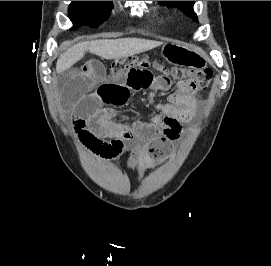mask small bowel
<instances>
[{
    "label": "small bowel",
    "mask_w": 271,
    "mask_h": 266,
    "mask_svg": "<svg viewBox=\"0 0 271 266\" xmlns=\"http://www.w3.org/2000/svg\"><path fill=\"white\" fill-rule=\"evenodd\" d=\"M65 71L60 100L80 142L104 159L117 157L126 142L138 144L140 155L133 166L139 178L163 158L169 144L183 132V124L192 121L201 105L193 93L179 84L165 102L157 105L159 115L153 119L116 120L114 107L127 103L132 92H166L170 88L168 77L155 74L151 66H133L108 76L96 60Z\"/></svg>",
    "instance_id": "c3829d8e"
}]
</instances>
